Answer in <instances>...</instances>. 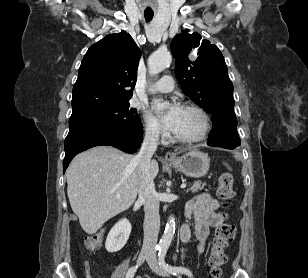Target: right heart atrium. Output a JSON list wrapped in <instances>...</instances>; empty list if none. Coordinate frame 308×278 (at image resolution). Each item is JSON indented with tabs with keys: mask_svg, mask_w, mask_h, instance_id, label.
<instances>
[{
	"mask_svg": "<svg viewBox=\"0 0 308 278\" xmlns=\"http://www.w3.org/2000/svg\"><path fill=\"white\" fill-rule=\"evenodd\" d=\"M144 132L146 138L151 141H161L166 138V132L149 115L144 116Z\"/></svg>",
	"mask_w": 308,
	"mask_h": 278,
	"instance_id": "right-heart-atrium-1",
	"label": "right heart atrium"
}]
</instances>
